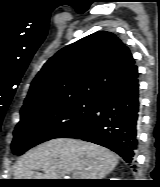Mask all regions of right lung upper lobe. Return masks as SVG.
Wrapping results in <instances>:
<instances>
[{"label":"right lung upper lobe","mask_w":160,"mask_h":187,"mask_svg":"<svg viewBox=\"0 0 160 187\" xmlns=\"http://www.w3.org/2000/svg\"><path fill=\"white\" fill-rule=\"evenodd\" d=\"M134 65L129 48L113 33L88 35L44 64L21 112L79 98H98Z\"/></svg>","instance_id":"obj_1"}]
</instances>
